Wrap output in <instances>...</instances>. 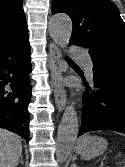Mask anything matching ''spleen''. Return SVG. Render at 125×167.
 <instances>
[{
    "label": "spleen",
    "mask_w": 125,
    "mask_h": 167,
    "mask_svg": "<svg viewBox=\"0 0 125 167\" xmlns=\"http://www.w3.org/2000/svg\"><path fill=\"white\" fill-rule=\"evenodd\" d=\"M87 138H88V136H84V137L80 138L78 144L81 143L82 141L86 140Z\"/></svg>",
    "instance_id": "1"
}]
</instances>
